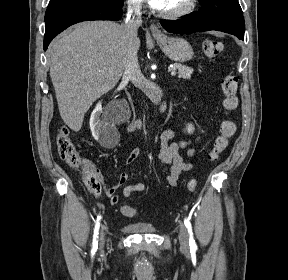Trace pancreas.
I'll list each match as a JSON object with an SVG mask.
<instances>
[{"label":"pancreas","mask_w":288,"mask_h":280,"mask_svg":"<svg viewBox=\"0 0 288 280\" xmlns=\"http://www.w3.org/2000/svg\"><path fill=\"white\" fill-rule=\"evenodd\" d=\"M173 68L178 70V77L183 79H190L193 69L187 66H184L180 63H174Z\"/></svg>","instance_id":"cf45deb5"}]
</instances>
